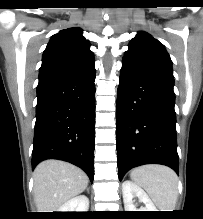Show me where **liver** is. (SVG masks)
I'll use <instances>...</instances> for the list:
<instances>
[{
    "mask_svg": "<svg viewBox=\"0 0 203 219\" xmlns=\"http://www.w3.org/2000/svg\"><path fill=\"white\" fill-rule=\"evenodd\" d=\"M34 201L38 212H58L71 198L81 194L89 178L77 166L61 160H45L34 170Z\"/></svg>",
    "mask_w": 203,
    "mask_h": 219,
    "instance_id": "1",
    "label": "liver"
}]
</instances>
